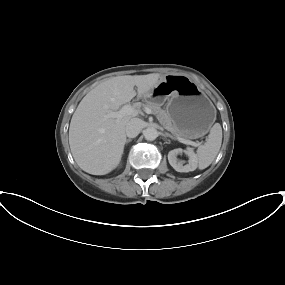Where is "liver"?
Listing matches in <instances>:
<instances>
[{
    "label": "liver",
    "instance_id": "liver-1",
    "mask_svg": "<svg viewBox=\"0 0 285 285\" xmlns=\"http://www.w3.org/2000/svg\"><path fill=\"white\" fill-rule=\"evenodd\" d=\"M159 73L125 75L106 79L81 100L69 127V144L74 160L85 172L105 175L119 164L126 143V126L137 116L108 117L136 95L145 96L159 82ZM137 87V92L134 87Z\"/></svg>",
    "mask_w": 285,
    "mask_h": 285
}]
</instances>
